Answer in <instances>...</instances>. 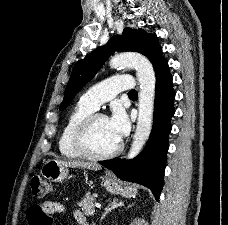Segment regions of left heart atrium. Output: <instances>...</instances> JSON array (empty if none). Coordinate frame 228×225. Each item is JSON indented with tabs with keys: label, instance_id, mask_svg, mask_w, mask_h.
<instances>
[{
	"label": "left heart atrium",
	"instance_id": "39dd6f15",
	"mask_svg": "<svg viewBox=\"0 0 228 225\" xmlns=\"http://www.w3.org/2000/svg\"><path fill=\"white\" fill-rule=\"evenodd\" d=\"M108 129L111 135L120 141L128 133L129 122L125 112L120 108H114L112 114L107 118Z\"/></svg>",
	"mask_w": 228,
	"mask_h": 225
}]
</instances>
